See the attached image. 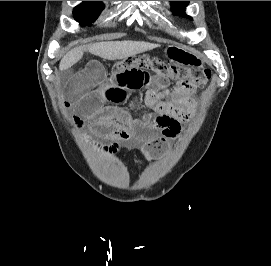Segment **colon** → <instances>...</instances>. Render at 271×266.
Listing matches in <instances>:
<instances>
[{
  "instance_id": "obj_1",
  "label": "colon",
  "mask_w": 271,
  "mask_h": 266,
  "mask_svg": "<svg viewBox=\"0 0 271 266\" xmlns=\"http://www.w3.org/2000/svg\"><path fill=\"white\" fill-rule=\"evenodd\" d=\"M131 67L146 68L158 75L175 80L184 91L188 92L203 88L211 77L209 70L181 67L147 55L120 60L114 64L113 69L121 71Z\"/></svg>"
}]
</instances>
